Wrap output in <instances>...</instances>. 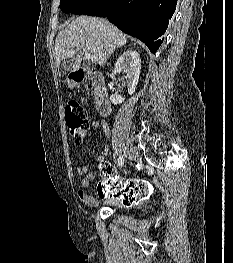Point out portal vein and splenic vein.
Here are the masks:
<instances>
[{
  "instance_id": "obj_1",
  "label": "portal vein and splenic vein",
  "mask_w": 233,
  "mask_h": 263,
  "mask_svg": "<svg viewBox=\"0 0 233 263\" xmlns=\"http://www.w3.org/2000/svg\"><path fill=\"white\" fill-rule=\"evenodd\" d=\"M71 53H74V50H71ZM85 59L91 61V62H97V58L93 55H91L89 52L85 51Z\"/></svg>"
}]
</instances>
